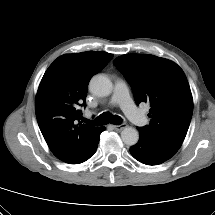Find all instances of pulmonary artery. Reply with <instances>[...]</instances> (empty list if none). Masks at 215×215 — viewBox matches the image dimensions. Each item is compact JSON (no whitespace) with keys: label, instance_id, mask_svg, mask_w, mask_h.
I'll use <instances>...</instances> for the list:
<instances>
[{"label":"pulmonary artery","instance_id":"obj_1","mask_svg":"<svg viewBox=\"0 0 215 215\" xmlns=\"http://www.w3.org/2000/svg\"><path fill=\"white\" fill-rule=\"evenodd\" d=\"M110 104L119 105L134 124L144 126L147 123L145 115L133 104L129 96L128 88L122 80L116 81Z\"/></svg>","mask_w":215,"mask_h":215}]
</instances>
